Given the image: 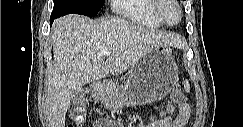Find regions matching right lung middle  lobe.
<instances>
[{
  "label": "right lung middle lobe",
  "instance_id": "1",
  "mask_svg": "<svg viewBox=\"0 0 243 127\" xmlns=\"http://www.w3.org/2000/svg\"><path fill=\"white\" fill-rule=\"evenodd\" d=\"M104 4V0H54L51 17L58 18L75 13L94 17Z\"/></svg>",
  "mask_w": 243,
  "mask_h": 127
}]
</instances>
